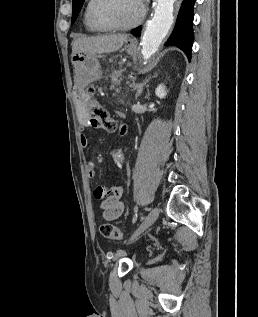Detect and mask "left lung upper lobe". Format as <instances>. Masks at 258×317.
Instances as JSON below:
<instances>
[{
    "label": "left lung upper lobe",
    "mask_w": 258,
    "mask_h": 317,
    "mask_svg": "<svg viewBox=\"0 0 258 317\" xmlns=\"http://www.w3.org/2000/svg\"><path fill=\"white\" fill-rule=\"evenodd\" d=\"M83 3H84V0H72V5H73L72 23L76 20L82 8Z\"/></svg>",
    "instance_id": "5c2ea615"
}]
</instances>
